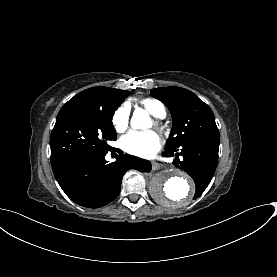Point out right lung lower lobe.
<instances>
[{
	"label": "right lung lower lobe",
	"mask_w": 277,
	"mask_h": 277,
	"mask_svg": "<svg viewBox=\"0 0 277 277\" xmlns=\"http://www.w3.org/2000/svg\"><path fill=\"white\" fill-rule=\"evenodd\" d=\"M108 150L69 157L52 165L53 173L62 190L75 203L98 208L113 201L120 193L121 181L129 169L151 171L147 160L120 154L108 163Z\"/></svg>",
	"instance_id": "right-lung-lower-lobe-1"
}]
</instances>
